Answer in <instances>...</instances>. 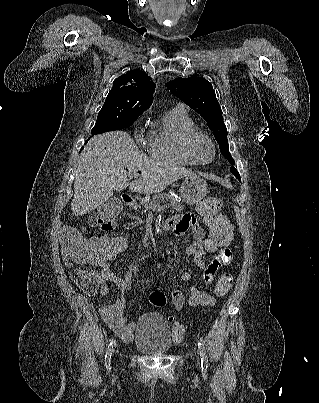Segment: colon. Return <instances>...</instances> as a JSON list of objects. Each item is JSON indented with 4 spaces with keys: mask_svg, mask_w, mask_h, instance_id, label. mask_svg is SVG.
I'll list each match as a JSON object with an SVG mask.
<instances>
[{
    "mask_svg": "<svg viewBox=\"0 0 319 403\" xmlns=\"http://www.w3.org/2000/svg\"><path fill=\"white\" fill-rule=\"evenodd\" d=\"M222 205L221 196L209 197L201 204L200 213L207 223V246L210 247L211 257H214L215 251H220L221 247H229L230 243L235 242L233 221L230 218H223ZM123 208V201H112L111 208L93 215L90 223L100 230L98 234H88V241L73 227L63 229L61 243L67 258L82 265L99 258H125L126 254H131L135 248V241L131 240L130 234H109L115 228L118 210ZM72 279L87 294H94L99 288V278L91 268L75 269L72 272ZM182 281L184 284H190L188 293H197L199 290V283L194 282L193 275H184ZM232 284L233 276L229 273L223 274L216 283V295L220 297L226 295ZM182 297H186V294H182ZM150 302L157 307H163L167 299L163 292L154 291L150 295ZM171 321L172 337L175 342H181L185 335V326L176 316H172Z\"/></svg>",
    "mask_w": 319,
    "mask_h": 403,
    "instance_id": "5ec220e1",
    "label": "colon"
}]
</instances>
